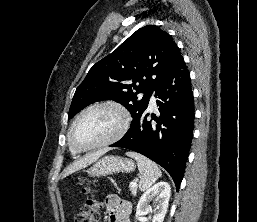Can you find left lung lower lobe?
I'll use <instances>...</instances> for the list:
<instances>
[{"label":"left lung lower lobe","instance_id":"0a47b994","mask_svg":"<svg viewBox=\"0 0 257 222\" xmlns=\"http://www.w3.org/2000/svg\"><path fill=\"white\" fill-rule=\"evenodd\" d=\"M154 91L160 114H152L148 121L147 104L123 138L110 147L126 148L153 160L168 171L178 191L194 128V97L184 59Z\"/></svg>","mask_w":257,"mask_h":222}]
</instances>
